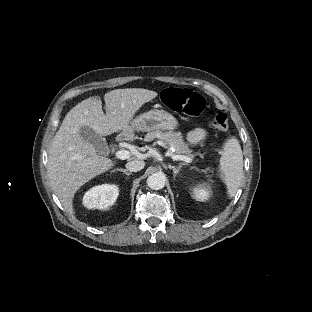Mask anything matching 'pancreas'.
Masks as SVG:
<instances>
[{"label": "pancreas", "instance_id": "obj_1", "mask_svg": "<svg viewBox=\"0 0 312 312\" xmlns=\"http://www.w3.org/2000/svg\"><path fill=\"white\" fill-rule=\"evenodd\" d=\"M157 136H160V140L164 145L170 146L171 149H174L173 154L192 155L193 149L191 148L190 143L184 140L181 133L178 132L163 133L161 131L151 132L149 135L145 137V141L153 140Z\"/></svg>", "mask_w": 312, "mask_h": 312}]
</instances>
